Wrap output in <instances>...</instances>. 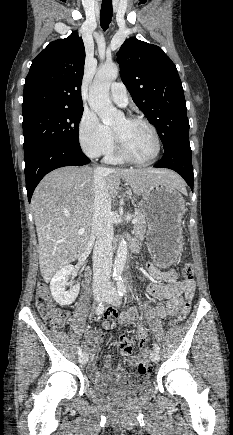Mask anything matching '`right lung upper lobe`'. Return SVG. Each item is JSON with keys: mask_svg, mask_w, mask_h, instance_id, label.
Masks as SVG:
<instances>
[{"mask_svg": "<svg viewBox=\"0 0 233 435\" xmlns=\"http://www.w3.org/2000/svg\"><path fill=\"white\" fill-rule=\"evenodd\" d=\"M83 40L74 31L55 40L32 61L23 92V116L46 109L83 108Z\"/></svg>", "mask_w": 233, "mask_h": 435, "instance_id": "obj_1", "label": "right lung upper lobe"}]
</instances>
